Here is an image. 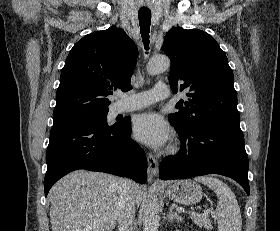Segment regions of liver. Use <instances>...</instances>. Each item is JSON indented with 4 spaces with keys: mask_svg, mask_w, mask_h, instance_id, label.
Here are the masks:
<instances>
[{
    "mask_svg": "<svg viewBox=\"0 0 280 231\" xmlns=\"http://www.w3.org/2000/svg\"><path fill=\"white\" fill-rule=\"evenodd\" d=\"M120 177L77 169L59 179L49 191L52 231H112L117 221ZM144 185L135 183L133 195L142 201Z\"/></svg>",
    "mask_w": 280,
    "mask_h": 231,
    "instance_id": "liver-1",
    "label": "liver"
}]
</instances>
